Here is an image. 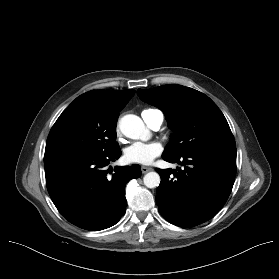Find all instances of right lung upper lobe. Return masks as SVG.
I'll return each instance as SVG.
<instances>
[{"mask_svg": "<svg viewBox=\"0 0 279 279\" xmlns=\"http://www.w3.org/2000/svg\"><path fill=\"white\" fill-rule=\"evenodd\" d=\"M133 95L134 92L131 89L121 91L93 90L79 97L98 113L118 118L119 112Z\"/></svg>", "mask_w": 279, "mask_h": 279, "instance_id": "right-lung-upper-lobe-1", "label": "right lung upper lobe"}]
</instances>
